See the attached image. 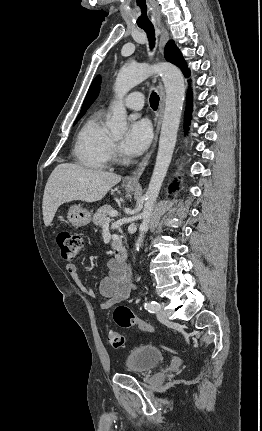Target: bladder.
I'll use <instances>...</instances> for the list:
<instances>
[{
	"label": "bladder",
	"mask_w": 262,
	"mask_h": 431,
	"mask_svg": "<svg viewBox=\"0 0 262 431\" xmlns=\"http://www.w3.org/2000/svg\"><path fill=\"white\" fill-rule=\"evenodd\" d=\"M164 359L163 352L156 346L142 342L127 355L125 368L133 374H143L155 368Z\"/></svg>",
	"instance_id": "31cf9c89"
}]
</instances>
